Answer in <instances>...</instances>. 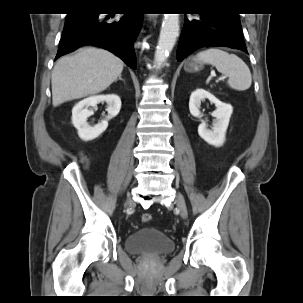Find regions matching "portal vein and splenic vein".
<instances>
[{
  "mask_svg": "<svg viewBox=\"0 0 303 303\" xmlns=\"http://www.w3.org/2000/svg\"><path fill=\"white\" fill-rule=\"evenodd\" d=\"M214 76H215V73H214V72H212V73H211V77H214ZM225 78H226V77H225V76H223V77H220V78H219V80H224Z\"/></svg>",
  "mask_w": 303,
  "mask_h": 303,
  "instance_id": "18ae733b",
  "label": "portal vein and splenic vein"
}]
</instances>
